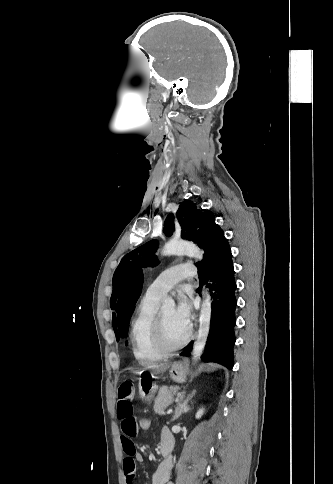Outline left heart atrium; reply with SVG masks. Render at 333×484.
Instances as JSON below:
<instances>
[{
  "instance_id": "39dd6f15",
  "label": "left heart atrium",
  "mask_w": 333,
  "mask_h": 484,
  "mask_svg": "<svg viewBox=\"0 0 333 484\" xmlns=\"http://www.w3.org/2000/svg\"><path fill=\"white\" fill-rule=\"evenodd\" d=\"M174 314L178 322L186 329H190L192 319L191 303L184 296L180 295L178 304L174 309Z\"/></svg>"
}]
</instances>
